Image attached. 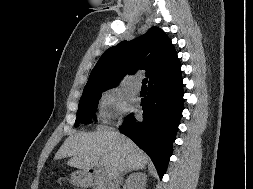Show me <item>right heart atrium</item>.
<instances>
[{
    "instance_id": "d8ad5b80",
    "label": "right heart atrium",
    "mask_w": 253,
    "mask_h": 189,
    "mask_svg": "<svg viewBox=\"0 0 253 189\" xmlns=\"http://www.w3.org/2000/svg\"><path fill=\"white\" fill-rule=\"evenodd\" d=\"M125 103L121 94L116 90L105 92L100 98L98 105L99 118L107 122L124 111Z\"/></svg>"
}]
</instances>
